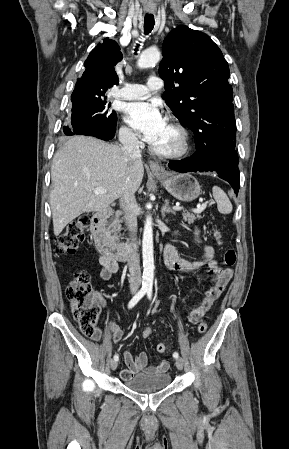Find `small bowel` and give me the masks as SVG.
<instances>
[{"instance_id":"c3829d8e","label":"small bowel","mask_w":289,"mask_h":449,"mask_svg":"<svg viewBox=\"0 0 289 449\" xmlns=\"http://www.w3.org/2000/svg\"><path fill=\"white\" fill-rule=\"evenodd\" d=\"M194 234L196 240H199V231L197 229H195ZM213 256L214 251L209 246L203 247L202 255L194 260L180 257L171 244H167L163 251V259L169 269L178 272H190L202 266H206L214 277L213 286L205 292L202 301L190 311L188 319L192 324L197 323L199 319L208 312L215 300L221 296L233 275L231 268H221L213 259ZM99 261L102 265V270L100 272L101 279L109 280L111 276L118 271L117 262L114 259L103 255H100ZM109 330L112 333L114 340L120 343L123 338V332L120 327L114 322H109ZM100 337L101 332L98 330L93 338L98 340ZM168 347V344L164 341L159 342L156 345L161 356L166 354L165 350H167ZM123 358L126 364V368L121 371V378L123 380L130 379L141 372L164 373L169 369V363L166 360H161L156 366H148V355L146 352H140L134 356L131 352L125 351Z\"/></svg>"}]
</instances>
